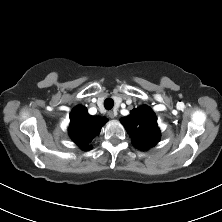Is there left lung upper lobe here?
<instances>
[{
  "instance_id": "obj_1",
  "label": "left lung upper lobe",
  "mask_w": 222,
  "mask_h": 222,
  "mask_svg": "<svg viewBox=\"0 0 222 222\" xmlns=\"http://www.w3.org/2000/svg\"><path fill=\"white\" fill-rule=\"evenodd\" d=\"M121 123L130 134L133 145L140 150H148L160 139L156 116L146 105L132 110L131 115L121 118Z\"/></svg>"
}]
</instances>
